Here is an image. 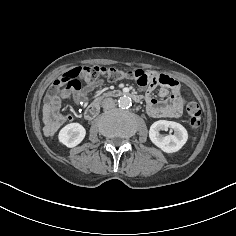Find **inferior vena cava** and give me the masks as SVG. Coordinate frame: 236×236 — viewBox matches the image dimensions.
Here are the masks:
<instances>
[{
  "mask_svg": "<svg viewBox=\"0 0 236 236\" xmlns=\"http://www.w3.org/2000/svg\"><path fill=\"white\" fill-rule=\"evenodd\" d=\"M115 106V101L112 98H105L102 101V107L104 109H110L113 108Z\"/></svg>",
  "mask_w": 236,
  "mask_h": 236,
  "instance_id": "1",
  "label": "inferior vena cava"
}]
</instances>
